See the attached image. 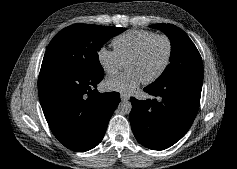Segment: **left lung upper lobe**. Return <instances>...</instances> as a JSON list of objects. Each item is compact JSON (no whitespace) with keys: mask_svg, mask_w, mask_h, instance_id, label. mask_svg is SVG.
<instances>
[{"mask_svg":"<svg viewBox=\"0 0 237 169\" xmlns=\"http://www.w3.org/2000/svg\"><path fill=\"white\" fill-rule=\"evenodd\" d=\"M151 28L160 29L171 41L170 64L152 85L178 78L203 74L201 56L187 34L172 24H155Z\"/></svg>","mask_w":237,"mask_h":169,"instance_id":"1","label":"left lung upper lobe"}]
</instances>
